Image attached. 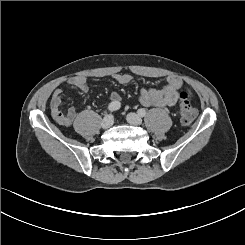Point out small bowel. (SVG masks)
Wrapping results in <instances>:
<instances>
[{
    "label": "small bowel",
    "instance_id": "c3829d8e",
    "mask_svg": "<svg viewBox=\"0 0 245 245\" xmlns=\"http://www.w3.org/2000/svg\"><path fill=\"white\" fill-rule=\"evenodd\" d=\"M116 82L120 84H129L132 76L126 73H116L113 75ZM68 84L78 88L84 94H88L87 80L84 76H74L68 79ZM182 80L175 75H169L165 78V84L160 89L141 88L139 93V102L147 107H171L174 106L179 98V89L182 87ZM63 99V91L56 89L52 95L50 102L51 115L53 119L62 126H71L76 118V110L70 108L67 112H62L61 104ZM111 103L119 102L120 95L112 92L110 95Z\"/></svg>",
    "mask_w": 245,
    "mask_h": 245
}]
</instances>
